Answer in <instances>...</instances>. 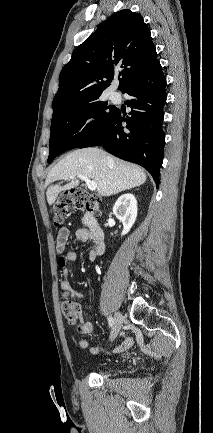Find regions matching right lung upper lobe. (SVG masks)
<instances>
[{"mask_svg":"<svg viewBox=\"0 0 213 433\" xmlns=\"http://www.w3.org/2000/svg\"><path fill=\"white\" fill-rule=\"evenodd\" d=\"M154 59L156 49L142 16L128 9L114 13L76 48L61 70L53 116L68 106L99 97L118 69H122L118 87L122 90Z\"/></svg>","mask_w":213,"mask_h":433,"instance_id":"cb5924a9","label":"right lung upper lobe"}]
</instances>
